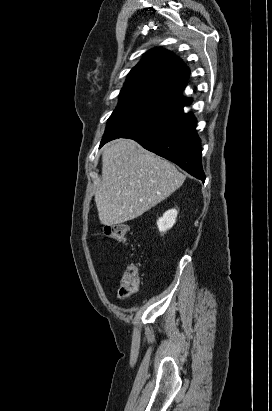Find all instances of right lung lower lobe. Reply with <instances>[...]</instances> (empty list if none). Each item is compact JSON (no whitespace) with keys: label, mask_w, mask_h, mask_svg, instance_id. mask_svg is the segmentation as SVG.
<instances>
[{"label":"right lung lower lobe","mask_w":272,"mask_h":411,"mask_svg":"<svg viewBox=\"0 0 272 411\" xmlns=\"http://www.w3.org/2000/svg\"><path fill=\"white\" fill-rule=\"evenodd\" d=\"M122 137L137 141L147 150L176 163L204 182L201 140L196 132V119L191 112L185 113L183 107ZM113 139L104 136L101 146Z\"/></svg>","instance_id":"obj_1"}]
</instances>
